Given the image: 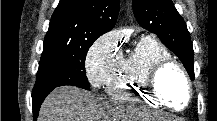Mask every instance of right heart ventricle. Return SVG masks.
Here are the masks:
<instances>
[{
	"label": "right heart ventricle",
	"mask_w": 217,
	"mask_h": 121,
	"mask_svg": "<svg viewBox=\"0 0 217 121\" xmlns=\"http://www.w3.org/2000/svg\"><path fill=\"white\" fill-rule=\"evenodd\" d=\"M168 58H171L170 53L157 40L150 36L141 37L128 55L120 57L106 82L107 94L117 101H146L155 105L156 102L148 96L146 78L154 64Z\"/></svg>",
	"instance_id": "right-heart-ventricle-1"
}]
</instances>
